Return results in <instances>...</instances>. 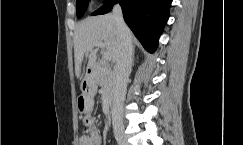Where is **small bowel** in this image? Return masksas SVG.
I'll return each mask as SVG.
<instances>
[{
    "label": "small bowel",
    "instance_id": "small-bowel-1",
    "mask_svg": "<svg viewBox=\"0 0 243 145\" xmlns=\"http://www.w3.org/2000/svg\"><path fill=\"white\" fill-rule=\"evenodd\" d=\"M79 145H101V136L97 131L90 130L79 138Z\"/></svg>",
    "mask_w": 243,
    "mask_h": 145
}]
</instances>
